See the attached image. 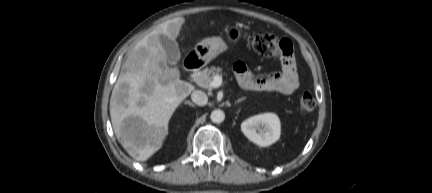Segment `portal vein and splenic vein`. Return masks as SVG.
I'll list each match as a JSON object with an SVG mask.
<instances>
[{"label":"portal vein and splenic vein","mask_w":432,"mask_h":193,"mask_svg":"<svg viewBox=\"0 0 432 193\" xmlns=\"http://www.w3.org/2000/svg\"><path fill=\"white\" fill-rule=\"evenodd\" d=\"M222 85V77L220 75L214 76L210 86L213 88H218Z\"/></svg>","instance_id":"obj_1"}]
</instances>
